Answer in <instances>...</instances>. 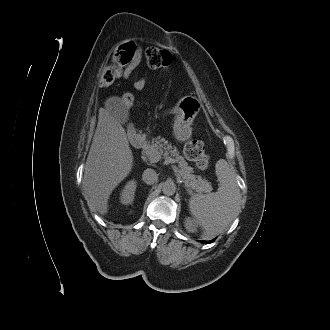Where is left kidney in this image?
<instances>
[{
  "instance_id": "1",
  "label": "left kidney",
  "mask_w": 330,
  "mask_h": 330,
  "mask_svg": "<svg viewBox=\"0 0 330 330\" xmlns=\"http://www.w3.org/2000/svg\"><path fill=\"white\" fill-rule=\"evenodd\" d=\"M184 226L188 232L194 233L197 230L196 223L189 217L185 219Z\"/></svg>"
}]
</instances>
